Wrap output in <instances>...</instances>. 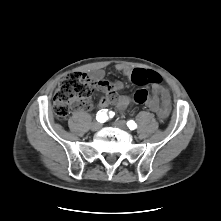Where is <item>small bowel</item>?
<instances>
[{"label":"small bowel","instance_id":"obj_1","mask_svg":"<svg viewBox=\"0 0 221 221\" xmlns=\"http://www.w3.org/2000/svg\"><path fill=\"white\" fill-rule=\"evenodd\" d=\"M117 70L131 77L132 72L135 69H131L128 66L120 64L117 65ZM140 70L148 71L145 69ZM104 75L103 70L95 69L88 77L90 83H92L94 87L108 92L106 96L99 100V106L101 108H105L109 105H115L119 110H125L130 105L131 99L128 96L119 95L115 92V90L122 88V82L119 80H105ZM136 84L145 86L150 84V82L147 79H144L140 83ZM146 105L157 115L160 120L165 119L168 116L171 108V98L168 89L158 84H152V96L147 100Z\"/></svg>","mask_w":221,"mask_h":221}]
</instances>
